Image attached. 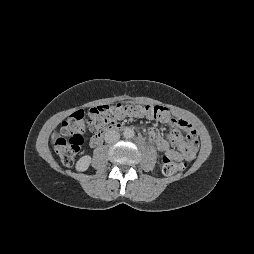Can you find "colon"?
<instances>
[{
    "mask_svg": "<svg viewBox=\"0 0 254 254\" xmlns=\"http://www.w3.org/2000/svg\"><path fill=\"white\" fill-rule=\"evenodd\" d=\"M164 116L163 107L131 103L95 106L89 110L87 119L83 111H77L63 121L61 135L56 138L54 148L61 161L70 166L84 143L86 132H100L124 117L159 119ZM183 169L182 163L168 157L163 158L162 172L164 175L171 176Z\"/></svg>",
    "mask_w": 254,
    "mask_h": 254,
    "instance_id": "1",
    "label": "colon"
}]
</instances>
